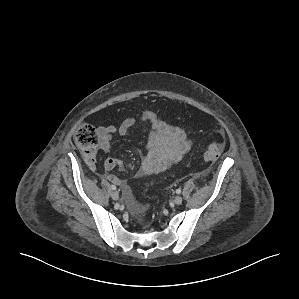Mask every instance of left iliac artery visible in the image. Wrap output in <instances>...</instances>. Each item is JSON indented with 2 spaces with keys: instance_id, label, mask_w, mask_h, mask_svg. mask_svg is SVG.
<instances>
[{
  "instance_id": "1",
  "label": "left iliac artery",
  "mask_w": 299,
  "mask_h": 299,
  "mask_svg": "<svg viewBox=\"0 0 299 299\" xmlns=\"http://www.w3.org/2000/svg\"><path fill=\"white\" fill-rule=\"evenodd\" d=\"M176 193H177V194H180V193H181V189H180V188L177 189V190H176Z\"/></svg>"
}]
</instances>
